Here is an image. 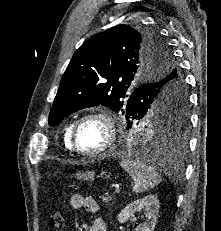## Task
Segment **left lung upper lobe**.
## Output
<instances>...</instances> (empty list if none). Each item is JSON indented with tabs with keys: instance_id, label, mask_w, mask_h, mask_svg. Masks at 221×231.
<instances>
[{
	"instance_id": "obj_1",
	"label": "left lung upper lobe",
	"mask_w": 221,
	"mask_h": 231,
	"mask_svg": "<svg viewBox=\"0 0 221 231\" xmlns=\"http://www.w3.org/2000/svg\"><path fill=\"white\" fill-rule=\"evenodd\" d=\"M147 82V83H146ZM160 86L142 92L137 105L128 102L136 84ZM183 77L167 42L144 27L121 24L86 41L74 53L59 85L49 125L79 109L103 105L137 120L155 116L158 128L183 132L188 125ZM185 86V84H184ZM138 87V88H139ZM137 89V88H136ZM179 99L176 107L175 101Z\"/></svg>"
}]
</instances>
